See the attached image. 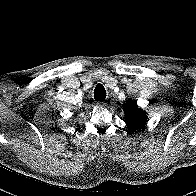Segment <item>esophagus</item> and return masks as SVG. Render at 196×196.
Listing matches in <instances>:
<instances>
[{"instance_id": "obj_1", "label": "esophagus", "mask_w": 196, "mask_h": 196, "mask_svg": "<svg viewBox=\"0 0 196 196\" xmlns=\"http://www.w3.org/2000/svg\"><path fill=\"white\" fill-rule=\"evenodd\" d=\"M97 105L105 106V103H104L103 101H98V102H97Z\"/></svg>"}]
</instances>
